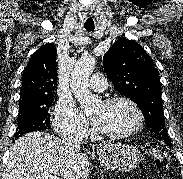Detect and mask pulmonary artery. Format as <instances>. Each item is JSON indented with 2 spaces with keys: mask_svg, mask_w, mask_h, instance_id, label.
Masks as SVG:
<instances>
[{
  "mask_svg": "<svg viewBox=\"0 0 183 179\" xmlns=\"http://www.w3.org/2000/svg\"><path fill=\"white\" fill-rule=\"evenodd\" d=\"M89 85L93 90L102 92L106 89L107 80L103 74L95 73L91 76Z\"/></svg>",
  "mask_w": 183,
  "mask_h": 179,
  "instance_id": "obj_1",
  "label": "pulmonary artery"
}]
</instances>
